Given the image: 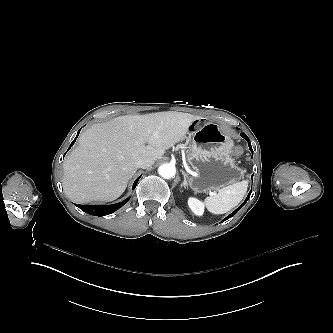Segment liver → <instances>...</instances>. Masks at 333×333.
<instances>
[{"label":"liver","instance_id":"6515ba94","mask_svg":"<svg viewBox=\"0 0 333 333\" xmlns=\"http://www.w3.org/2000/svg\"><path fill=\"white\" fill-rule=\"evenodd\" d=\"M201 117L182 112L121 116L81 134L64 161L63 189L75 203L111 201L126 189L140 158L159 160Z\"/></svg>","mask_w":333,"mask_h":333}]
</instances>
